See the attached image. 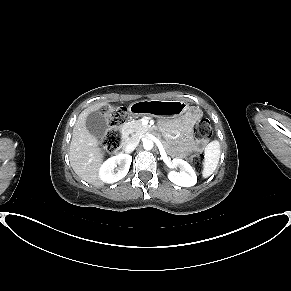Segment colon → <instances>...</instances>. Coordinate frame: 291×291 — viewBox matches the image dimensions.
I'll use <instances>...</instances> for the list:
<instances>
[{
  "mask_svg": "<svg viewBox=\"0 0 291 291\" xmlns=\"http://www.w3.org/2000/svg\"><path fill=\"white\" fill-rule=\"evenodd\" d=\"M109 128L105 132L101 145L107 152H115L118 145L122 143L119 128L128 118V110L121 106L105 107L102 110ZM212 130L210 121L207 118L200 119L193 128V135L197 142H205L211 136ZM189 159L196 168H201L203 163V154L194 152L190 154Z\"/></svg>",
  "mask_w": 291,
  "mask_h": 291,
  "instance_id": "1",
  "label": "colon"
}]
</instances>
